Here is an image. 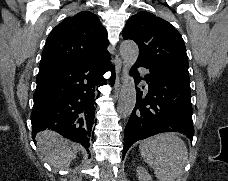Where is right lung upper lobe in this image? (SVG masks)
Here are the masks:
<instances>
[{
	"label": "right lung upper lobe",
	"mask_w": 228,
	"mask_h": 181,
	"mask_svg": "<svg viewBox=\"0 0 228 181\" xmlns=\"http://www.w3.org/2000/svg\"><path fill=\"white\" fill-rule=\"evenodd\" d=\"M107 32L98 17L81 11L58 24L47 38L39 72L110 55Z\"/></svg>",
	"instance_id": "cb5924a9"
}]
</instances>
